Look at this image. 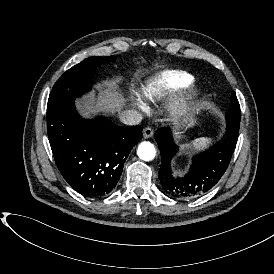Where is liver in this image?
Wrapping results in <instances>:
<instances>
[{
  "label": "liver",
  "instance_id": "obj_1",
  "mask_svg": "<svg viewBox=\"0 0 274 274\" xmlns=\"http://www.w3.org/2000/svg\"><path fill=\"white\" fill-rule=\"evenodd\" d=\"M118 79L105 80L96 85L98 91L97 96L95 93L83 96L81 100L76 101V107L79 113L84 118H92L99 112L105 114L121 113L126 106V99L118 91Z\"/></svg>",
  "mask_w": 274,
  "mask_h": 274
}]
</instances>
